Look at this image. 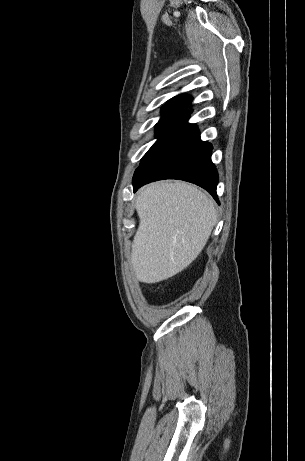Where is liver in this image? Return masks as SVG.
I'll list each match as a JSON object with an SVG mask.
<instances>
[{"instance_id": "6515ba94", "label": "liver", "mask_w": 305, "mask_h": 461, "mask_svg": "<svg viewBox=\"0 0 305 461\" xmlns=\"http://www.w3.org/2000/svg\"><path fill=\"white\" fill-rule=\"evenodd\" d=\"M140 218L131 251L136 278L143 283L166 280L200 254L216 224L214 202L197 187L155 182L136 198Z\"/></svg>"}]
</instances>
